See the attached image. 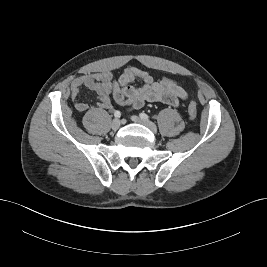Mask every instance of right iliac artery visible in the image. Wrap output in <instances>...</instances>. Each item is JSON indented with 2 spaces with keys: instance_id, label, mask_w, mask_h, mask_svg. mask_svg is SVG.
I'll return each mask as SVG.
<instances>
[{
  "instance_id": "1",
  "label": "right iliac artery",
  "mask_w": 267,
  "mask_h": 267,
  "mask_svg": "<svg viewBox=\"0 0 267 267\" xmlns=\"http://www.w3.org/2000/svg\"><path fill=\"white\" fill-rule=\"evenodd\" d=\"M114 116H115L116 118H120V116H121V112H120V111H115V112H114Z\"/></svg>"
}]
</instances>
